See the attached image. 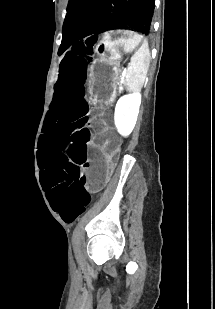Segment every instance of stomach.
I'll return each instance as SVG.
<instances>
[{"mask_svg": "<svg viewBox=\"0 0 215 309\" xmlns=\"http://www.w3.org/2000/svg\"><path fill=\"white\" fill-rule=\"evenodd\" d=\"M143 42V37L128 29H116L105 32L100 37L92 63L87 86L91 97L96 100H108L112 97L117 81L122 56L136 50Z\"/></svg>", "mask_w": 215, "mask_h": 309, "instance_id": "stomach-1", "label": "stomach"}]
</instances>
